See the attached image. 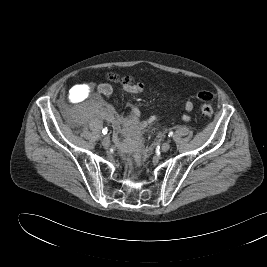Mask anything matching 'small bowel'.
I'll return each instance as SVG.
<instances>
[{"instance_id": "1", "label": "small bowel", "mask_w": 267, "mask_h": 267, "mask_svg": "<svg viewBox=\"0 0 267 267\" xmlns=\"http://www.w3.org/2000/svg\"><path fill=\"white\" fill-rule=\"evenodd\" d=\"M93 88V85H90V89ZM145 86L142 83H136L134 85H124V90L129 93H141L144 91ZM97 92L104 98H109L113 93V88L108 83H100L96 86ZM183 108L186 113L190 112L193 109V103L190 100H186L183 103ZM105 118L110 121L115 129H119L122 123L126 125L127 134L133 139V142L136 143L135 152L137 155H142L143 149L138 145L136 139L141 131H143L148 126L157 123L160 121V116L151 115L146 119H140L141 111L138 107L132 106L128 113L127 117L116 114L114 111L109 110L105 115ZM182 118L185 121H189L190 118L187 114H183Z\"/></svg>"}]
</instances>
